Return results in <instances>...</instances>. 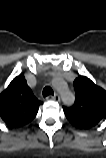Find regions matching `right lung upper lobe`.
<instances>
[{"label": "right lung upper lobe", "instance_id": "right-lung-upper-lobe-1", "mask_svg": "<svg viewBox=\"0 0 106 158\" xmlns=\"http://www.w3.org/2000/svg\"><path fill=\"white\" fill-rule=\"evenodd\" d=\"M41 104L20 74L0 94V119L8 127H22L35 118Z\"/></svg>", "mask_w": 106, "mask_h": 158}]
</instances>
